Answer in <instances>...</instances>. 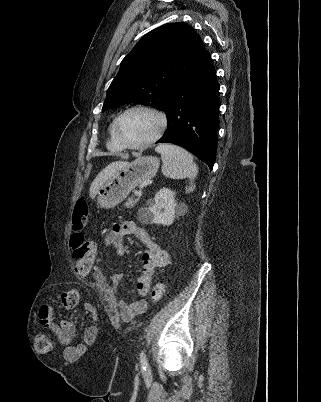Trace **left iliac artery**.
Returning a JSON list of instances; mask_svg holds the SVG:
<instances>
[{
    "label": "left iliac artery",
    "mask_w": 321,
    "mask_h": 402,
    "mask_svg": "<svg viewBox=\"0 0 321 402\" xmlns=\"http://www.w3.org/2000/svg\"><path fill=\"white\" fill-rule=\"evenodd\" d=\"M140 363L143 367H147L148 366V361H147V357H146V353L144 351H142L140 353Z\"/></svg>",
    "instance_id": "1"
}]
</instances>
